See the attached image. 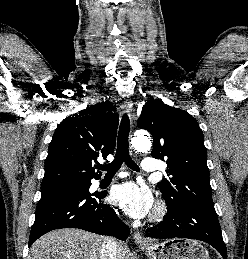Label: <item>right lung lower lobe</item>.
I'll return each instance as SVG.
<instances>
[{
    "label": "right lung lower lobe",
    "mask_w": 248,
    "mask_h": 259,
    "mask_svg": "<svg viewBox=\"0 0 248 259\" xmlns=\"http://www.w3.org/2000/svg\"><path fill=\"white\" fill-rule=\"evenodd\" d=\"M106 193L87 190L56 189L41 192L29 246L45 233L61 228H79L101 235H114L125 241L127 226L115 211L104 204Z\"/></svg>",
    "instance_id": "98d812e1"
}]
</instances>
